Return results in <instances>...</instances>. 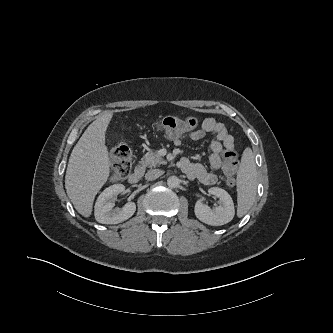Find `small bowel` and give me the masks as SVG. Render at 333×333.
I'll use <instances>...</instances> for the list:
<instances>
[{
	"instance_id": "c3829d8e",
	"label": "small bowel",
	"mask_w": 333,
	"mask_h": 333,
	"mask_svg": "<svg viewBox=\"0 0 333 333\" xmlns=\"http://www.w3.org/2000/svg\"><path fill=\"white\" fill-rule=\"evenodd\" d=\"M207 133H214L216 135V140L210 144L211 154L209 156V165L211 171L207 170L204 165L194 163L186 157L180 160V167L188 177L196 179L204 185L212 186L218 180L215 171L221 169L223 166L221 154L223 150L234 147V139L225 125L213 118H206L201 128L191 131L188 136L190 139L196 141L204 138ZM174 143L180 146L182 141L176 138L174 139Z\"/></svg>"
}]
</instances>
